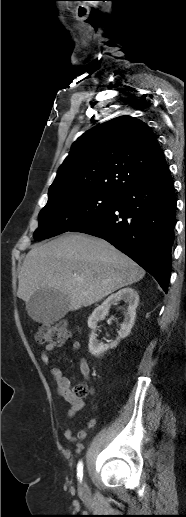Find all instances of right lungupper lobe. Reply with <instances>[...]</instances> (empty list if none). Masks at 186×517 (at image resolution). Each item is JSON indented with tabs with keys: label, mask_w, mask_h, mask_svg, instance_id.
<instances>
[{
	"label": "right lung upper lobe",
	"mask_w": 186,
	"mask_h": 517,
	"mask_svg": "<svg viewBox=\"0 0 186 517\" xmlns=\"http://www.w3.org/2000/svg\"><path fill=\"white\" fill-rule=\"evenodd\" d=\"M167 170L148 125L120 116L86 131L72 144L49 188L48 200L88 192L121 195Z\"/></svg>",
	"instance_id": "obj_1"
}]
</instances>
